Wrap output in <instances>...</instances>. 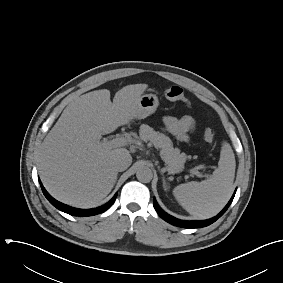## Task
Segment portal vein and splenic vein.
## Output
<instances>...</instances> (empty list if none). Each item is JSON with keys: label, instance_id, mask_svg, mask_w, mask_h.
<instances>
[{"label": "portal vein and splenic vein", "instance_id": "portal-vein-and-splenic-vein-1", "mask_svg": "<svg viewBox=\"0 0 283 283\" xmlns=\"http://www.w3.org/2000/svg\"><path fill=\"white\" fill-rule=\"evenodd\" d=\"M132 143H133L132 138L121 136V137H116V138L109 140V141H104L102 144L106 147H109V148H117V147H123V146H126V145H130ZM161 158L163 159L162 155H161ZM168 170H169V168H168ZM190 173L194 174L198 177L204 176L202 173H200L199 171H195V170H190Z\"/></svg>", "mask_w": 283, "mask_h": 283}]
</instances>
